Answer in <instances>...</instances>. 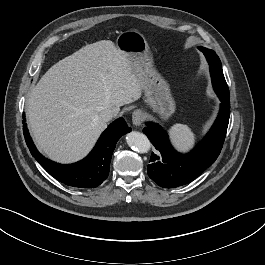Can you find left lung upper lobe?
I'll list each match as a JSON object with an SVG mask.
<instances>
[{
  "mask_svg": "<svg viewBox=\"0 0 265 265\" xmlns=\"http://www.w3.org/2000/svg\"><path fill=\"white\" fill-rule=\"evenodd\" d=\"M199 49L204 53L205 57L207 58L208 63L216 67L214 71L210 69L214 90L218 93L219 92L224 93L225 96H229V89L225 81L223 72H222V66H221V61L219 57L211 49H207L203 47H199Z\"/></svg>",
  "mask_w": 265,
  "mask_h": 265,
  "instance_id": "5c2ea615",
  "label": "left lung upper lobe"
}]
</instances>
